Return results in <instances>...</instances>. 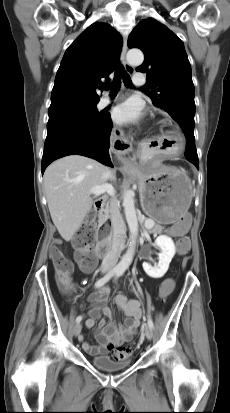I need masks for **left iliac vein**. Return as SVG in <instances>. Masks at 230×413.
Masks as SVG:
<instances>
[{"mask_svg":"<svg viewBox=\"0 0 230 413\" xmlns=\"http://www.w3.org/2000/svg\"><path fill=\"white\" fill-rule=\"evenodd\" d=\"M144 332L148 340H151L153 338V331L150 327H146Z\"/></svg>","mask_w":230,"mask_h":413,"instance_id":"left-iliac-vein-1","label":"left iliac vein"}]
</instances>
